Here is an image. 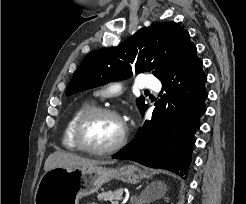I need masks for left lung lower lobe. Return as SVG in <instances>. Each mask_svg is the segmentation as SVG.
I'll return each instance as SVG.
<instances>
[{
	"label": "left lung lower lobe",
	"instance_id": "0a47b994",
	"mask_svg": "<svg viewBox=\"0 0 246 204\" xmlns=\"http://www.w3.org/2000/svg\"><path fill=\"white\" fill-rule=\"evenodd\" d=\"M206 80L202 61L193 45L161 80L163 88L152 119L145 121L133 141L113 158L136 161L184 176L191 162L194 133L206 111Z\"/></svg>",
	"mask_w": 246,
	"mask_h": 204
}]
</instances>
